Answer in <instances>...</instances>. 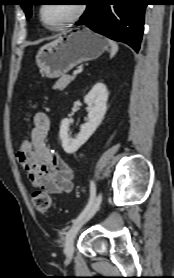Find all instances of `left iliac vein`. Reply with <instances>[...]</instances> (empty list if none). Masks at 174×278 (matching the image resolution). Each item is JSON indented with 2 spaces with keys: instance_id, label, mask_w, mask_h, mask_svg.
Segmentation results:
<instances>
[{
  "instance_id": "1",
  "label": "left iliac vein",
  "mask_w": 174,
  "mask_h": 278,
  "mask_svg": "<svg viewBox=\"0 0 174 278\" xmlns=\"http://www.w3.org/2000/svg\"><path fill=\"white\" fill-rule=\"evenodd\" d=\"M101 201H102V194L99 193L97 195V197L95 198L93 205L91 206V208L87 212V214L68 231L66 238H65V247H64V253L67 257V260H71L73 257L74 240H75V237H76L78 231L98 211Z\"/></svg>"
}]
</instances>
